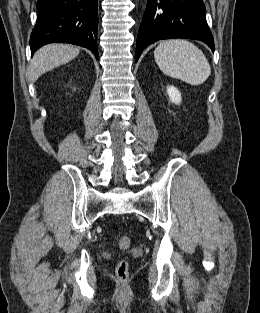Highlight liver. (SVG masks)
Returning <instances> with one entry per match:
<instances>
[{
  "label": "liver",
  "mask_w": 260,
  "mask_h": 313,
  "mask_svg": "<svg viewBox=\"0 0 260 313\" xmlns=\"http://www.w3.org/2000/svg\"><path fill=\"white\" fill-rule=\"evenodd\" d=\"M79 48L69 44H48L41 47L33 56L29 77L36 81L42 74L68 63L79 55Z\"/></svg>",
  "instance_id": "6515ba94"
}]
</instances>
